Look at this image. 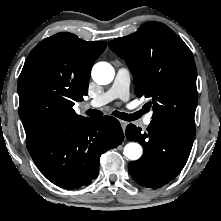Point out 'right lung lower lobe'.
Listing matches in <instances>:
<instances>
[{"label": "right lung lower lobe", "mask_w": 221, "mask_h": 221, "mask_svg": "<svg viewBox=\"0 0 221 221\" xmlns=\"http://www.w3.org/2000/svg\"><path fill=\"white\" fill-rule=\"evenodd\" d=\"M123 139L116 118H85L57 128L28 151L48 180L65 189H77L97 177L100 156Z\"/></svg>", "instance_id": "98d812e1"}]
</instances>
